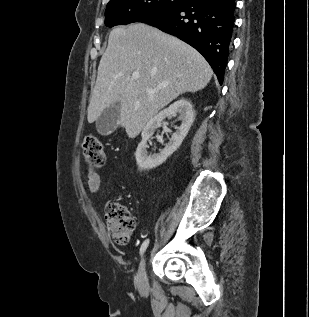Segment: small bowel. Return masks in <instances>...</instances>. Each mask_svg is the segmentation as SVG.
Masks as SVG:
<instances>
[{
	"label": "small bowel",
	"mask_w": 309,
	"mask_h": 317,
	"mask_svg": "<svg viewBox=\"0 0 309 317\" xmlns=\"http://www.w3.org/2000/svg\"><path fill=\"white\" fill-rule=\"evenodd\" d=\"M88 178H87V187L91 194H96L100 191L101 187V177L99 173L92 169L88 168ZM105 194L104 190H101L99 195L102 197Z\"/></svg>",
	"instance_id": "c3829d8e"
}]
</instances>
